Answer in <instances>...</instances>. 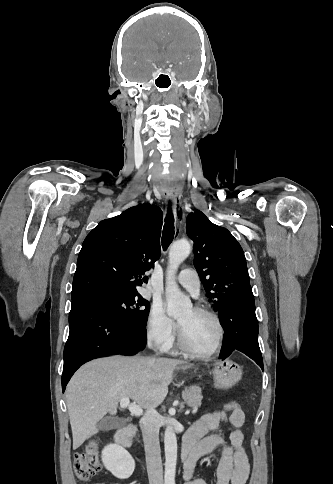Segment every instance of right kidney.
<instances>
[{
  "mask_svg": "<svg viewBox=\"0 0 333 484\" xmlns=\"http://www.w3.org/2000/svg\"><path fill=\"white\" fill-rule=\"evenodd\" d=\"M105 468L118 479L129 478L134 471L135 461L130 453L118 444H109L102 451Z\"/></svg>",
  "mask_w": 333,
  "mask_h": 484,
  "instance_id": "ca27d5eb",
  "label": "right kidney"
}]
</instances>
